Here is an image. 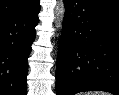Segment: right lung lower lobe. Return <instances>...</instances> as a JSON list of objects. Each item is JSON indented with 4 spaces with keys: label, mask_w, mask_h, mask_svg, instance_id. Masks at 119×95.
Wrapping results in <instances>:
<instances>
[{
    "label": "right lung lower lobe",
    "mask_w": 119,
    "mask_h": 95,
    "mask_svg": "<svg viewBox=\"0 0 119 95\" xmlns=\"http://www.w3.org/2000/svg\"><path fill=\"white\" fill-rule=\"evenodd\" d=\"M39 10L38 0L25 11L0 21V95H26L27 59Z\"/></svg>",
    "instance_id": "right-lung-lower-lobe-1"
}]
</instances>
